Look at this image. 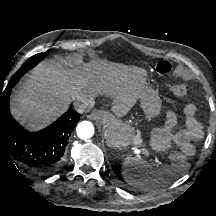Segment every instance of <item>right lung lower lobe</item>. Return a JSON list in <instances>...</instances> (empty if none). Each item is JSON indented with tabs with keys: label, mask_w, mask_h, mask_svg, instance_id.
<instances>
[{
	"label": "right lung lower lobe",
	"mask_w": 216,
	"mask_h": 216,
	"mask_svg": "<svg viewBox=\"0 0 216 216\" xmlns=\"http://www.w3.org/2000/svg\"><path fill=\"white\" fill-rule=\"evenodd\" d=\"M13 86L10 82L0 93V157L16 160L38 176L50 175L63 162L66 144L80 114L68 111L45 129L29 133L10 114Z\"/></svg>",
	"instance_id": "right-lung-lower-lobe-1"
}]
</instances>
